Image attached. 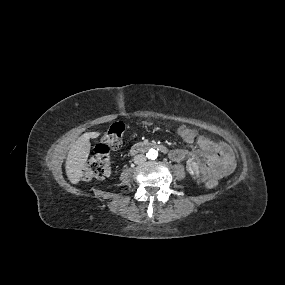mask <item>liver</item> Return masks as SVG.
I'll use <instances>...</instances> for the list:
<instances>
[{
    "label": "liver",
    "mask_w": 285,
    "mask_h": 285,
    "mask_svg": "<svg viewBox=\"0 0 285 285\" xmlns=\"http://www.w3.org/2000/svg\"><path fill=\"white\" fill-rule=\"evenodd\" d=\"M98 133L86 132L72 144L66 158V174L72 184H77L82 177V169L90 153V138H97Z\"/></svg>",
    "instance_id": "1"
}]
</instances>
